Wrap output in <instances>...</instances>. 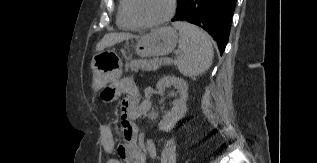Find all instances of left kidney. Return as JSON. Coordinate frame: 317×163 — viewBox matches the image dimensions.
<instances>
[{"label": "left kidney", "instance_id": "left-kidney-1", "mask_svg": "<svg viewBox=\"0 0 317 163\" xmlns=\"http://www.w3.org/2000/svg\"><path fill=\"white\" fill-rule=\"evenodd\" d=\"M174 87L178 98L173 101V107L168 111L159 123V129L170 131L175 124L184 117L186 113V101L188 98V84L185 80L175 76H164L156 84L159 93H163L165 88Z\"/></svg>", "mask_w": 317, "mask_h": 163}]
</instances>
